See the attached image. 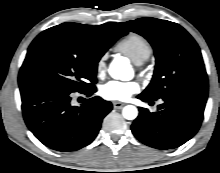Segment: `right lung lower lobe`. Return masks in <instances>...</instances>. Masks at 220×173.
Returning a JSON list of instances; mask_svg holds the SVG:
<instances>
[{"mask_svg": "<svg viewBox=\"0 0 220 173\" xmlns=\"http://www.w3.org/2000/svg\"><path fill=\"white\" fill-rule=\"evenodd\" d=\"M26 125L45 146L56 151H76L97 136L112 104L93 97L81 107L71 105L70 91L48 85L20 87ZM96 87L80 93L92 95Z\"/></svg>", "mask_w": 220, "mask_h": 173, "instance_id": "1", "label": "right lung lower lobe"}]
</instances>
